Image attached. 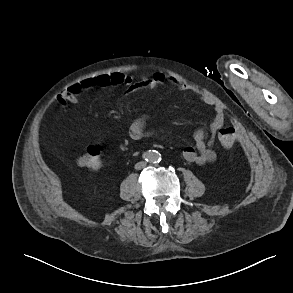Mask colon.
<instances>
[{
  "label": "colon",
  "instance_id": "colon-1",
  "mask_svg": "<svg viewBox=\"0 0 293 293\" xmlns=\"http://www.w3.org/2000/svg\"><path fill=\"white\" fill-rule=\"evenodd\" d=\"M218 140L225 148L233 146L236 140V131L233 127H224L218 132ZM78 165L82 168L95 170L102 165V148L97 143L86 147L83 154L78 158Z\"/></svg>",
  "mask_w": 293,
  "mask_h": 293
}]
</instances>
